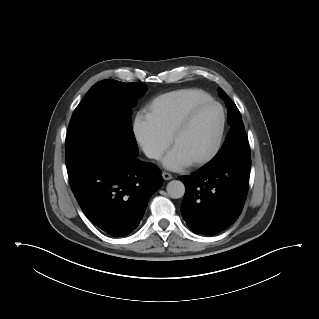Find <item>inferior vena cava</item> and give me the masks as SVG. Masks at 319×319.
<instances>
[{
    "mask_svg": "<svg viewBox=\"0 0 319 319\" xmlns=\"http://www.w3.org/2000/svg\"><path fill=\"white\" fill-rule=\"evenodd\" d=\"M144 153L148 158L158 159L161 156L160 152L149 148L145 149Z\"/></svg>",
    "mask_w": 319,
    "mask_h": 319,
    "instance_id": "1",
    "label": "inferior vena cava"
}]
</instances>
